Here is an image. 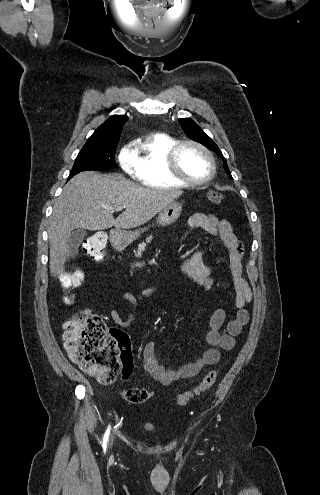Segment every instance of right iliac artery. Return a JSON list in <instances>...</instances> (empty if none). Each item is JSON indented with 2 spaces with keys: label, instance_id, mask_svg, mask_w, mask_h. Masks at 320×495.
<instances>
[{
  "label": "right iliac artery",
  "instance_id": "1",
  "mask_svg": "<svg viewBox=\"0 0 320 495\" xmlns=\"http://www.w3.org/2000/svg\"><path fill=\"white\" fill-rule=\"evenodd\" d=\"M109 432H110V426L106 430L104 438H103V443H102L103 448H106V444H107L108 437H109Z\"/></svg>",
  "mask_w": 320,
  "mask_h": 495
}]
</instances>
